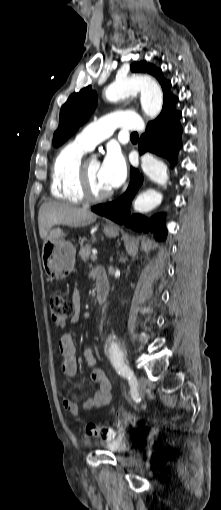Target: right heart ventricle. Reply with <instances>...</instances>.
Listing matches in <instances>:
<instances>
[{
    "label": "right heart ventricle",
    "instance_id": "e07e8e85",
    "mask_svg": "<svg viewBox=\"0 0 221 510\" xmlns=\"http://www.w3.org/2000/svg\"><path fill=\"white\" fill-rule=\"evenodd\" d=\"M87 148L72 141L65 145L56 155L51 170V195L74 204L83 199L78 187V172Z\"/></svg>",
    "mask_w": 221,
    "mask_h": 510
}]
</instances>
